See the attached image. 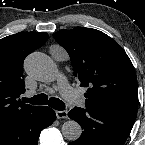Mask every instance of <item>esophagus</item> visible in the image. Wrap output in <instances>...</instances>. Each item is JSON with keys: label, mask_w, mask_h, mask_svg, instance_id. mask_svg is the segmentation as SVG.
Returning a JSON list of instances; mask_svg holds the SVG:
<instances>
[{"label": "esophagus", "mask_w": 145, "mask_h": 145, "mask_svg": "<svg viewBox=\"0 0 145 145\" xmlns=\"http://www.w3.org/2000/svg\"><path fill=\"white\" fill-rule=\"evenodd\" d=\"M56 117L58 119H65L68 118V113L67 111H56Z\"/></svg>", "instance_id": "esophagus-1"}]
</instances>
